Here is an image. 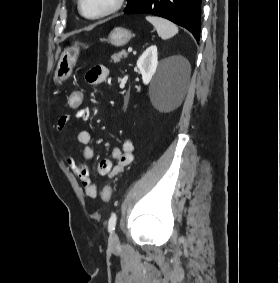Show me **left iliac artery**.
<instances>
[{"label":"left iliac artery","mask_w":280,"mask_h":283,"mask_svg":"<svg viewBox=\"0 0 280 283\" xmlns=\"http://www.w3.org/2000/svg\"><path fill=\"white\" fill-rule=\"evenodd\" d=\"M116 221H117V215L115 213H113L109 219L108 222V230L109 232L114 231L115 226H116Z\"/></svg>","instance_id":"1"}]
</instances>
